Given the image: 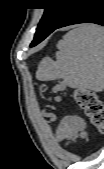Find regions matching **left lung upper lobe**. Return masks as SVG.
I'll use <instances>...</instances> for the list:
<instances>
[{
    "mask_svg": "<svg viewBox=\"0 0 104 169\" xmlns=\"http://www.w3.org/2000/svg\"><path fill=\"white\" fill-rule=\"evenodd\" d=\"M46 1L50 3L51 6L45 8V12L38 24L36 31L42 30V32H52L77 3V0Z\"/></svg>",
    "mask_w": 104,
    "mask_h": 169,
    "instance_id": "left-lung-upper-lobe-1",
    "label": "left lung upper lobe"
}]
</instances>
